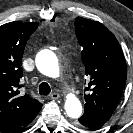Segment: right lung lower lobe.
I'll return each instance as SVG.
<instances>
[{"label":"right lung lower lobe","mask_w":133,"mask_h":133,"mask_svg":"<svg viewBox=\"0 0 133 133\" xmlns=\"http://www.w3.org/2000/svg\"><path fill=\"white\" fill-rule=\"evenodd\" d=\"M36 117V116H35ZM35 117H33L32 119H30L24 126H22L21 128H23V127H26L27 125H29L32 121H33V119L35 118Z\"/></svg>","instance_id":"obj_1"}]
</instances>
